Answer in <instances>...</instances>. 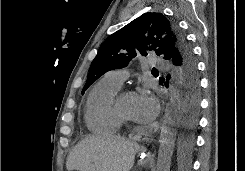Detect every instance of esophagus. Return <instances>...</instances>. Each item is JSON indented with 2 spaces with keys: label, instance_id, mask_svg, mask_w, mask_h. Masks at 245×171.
<instances>
[{
  "label": "esophagus",
  "instance_id": "obj_1",
  "mask_svg": "<svg viewBox=\"0 0 245 171\" xmlns=\"http://www.w3.org/2000/svg\"><path fill=\"white\" fill-rule=\"evenodd\" d=\"M150 156V153L149 152H145L144 153V157H149Z\"/></svg>",
  "mask_w": 245,
  "mask_h": 171
}]
</instances>
